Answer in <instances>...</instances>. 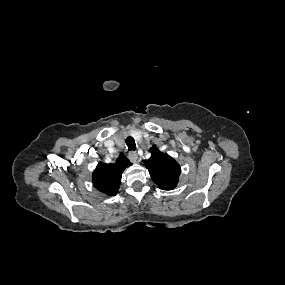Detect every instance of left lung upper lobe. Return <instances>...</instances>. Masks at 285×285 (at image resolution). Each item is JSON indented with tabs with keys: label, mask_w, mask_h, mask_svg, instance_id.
I'll return each instance as SVG.
<instances>
[{
	"label": "left lung upper lobe",
	"mask_w": 285,
	"mask_h": 285,
	"mask_svg": "<svg viewBox=\"0 0 285 285\" xmlns=\"http://www.w3.org/2000/svg\"><path fill=\"white\" fill-rule=\"evenodd\" d=\"M151 159L146 161L153 181L163 190L175 188L181 169L179 164L168 154H163L153 146L151 149Z\"/></svg>",
	"instance_id": "left-lung-upper-lobe-1"
}]
</instances>
